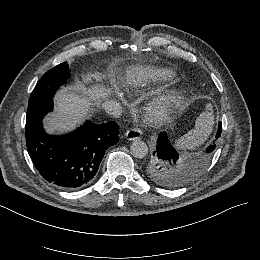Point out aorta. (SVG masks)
I'll use <instances>...</instances> for the list:
<instances>
[{
    "mask_svg": "<svg viewBox=\"0 0 260 260\" xmlns=\"http://www.w3.org/2000/svg\"><path fill=\"white\" fill-rule=\"evenodd\" d=\"M130 152L134 157L144 158L148 153V146L144 141L135 140L130 145Z\"/></svg>",
    "mask_w": 260,
    "mask_h": 260,
    "instance_id": "762f6f07",
    "label": "aorta"
}]
</instances>
